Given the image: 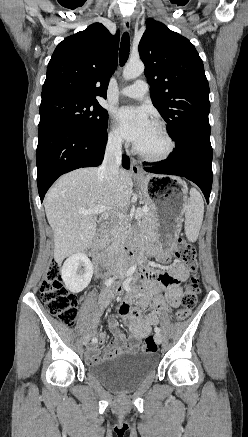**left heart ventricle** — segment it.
I'll use <instances>...</instances> for the list:
<instances>
[{
	"label": "left heart ventricle",
	"instance_id": "1",
	"mask_svg": "<svg viewBox=\"0 0 248 437\" xmlns=\"http://www.w3.org/2000/svg\"><path fill=\"white\" fill-rule=\"evenodd\" d=\"M149 155H160L167 148V142L158 127L151 125L144 138L136 145Z\"/></svg>",
	"mask_w": 248,
	"mask_h": 437
}]
</instances>
